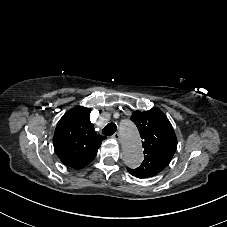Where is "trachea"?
<instances>
[{"label":"trachea","mask_w":227,"mask_h":227,"mask_svg":"<svg viewBox=\"0 0 227 227\" xmlns=\"http://www.w3.org/2000/svg\"><path fill=\"white\" fill-rule=\"evenodd\" d=\"M116 130H117L116 124L109 123L103 128L102 133L106 136H111L116 132Z\"/></svg>","instance_id":"3493384b"}]
</instances>
